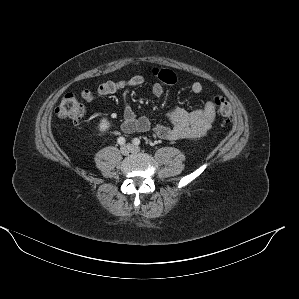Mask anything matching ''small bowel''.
<instances>
[{"label":"small bowel","mask_w":299,"mask_h":299,"mask_svg":"<svg viewBox=\"0 0 299 299\" xmlns=\"http://www.w3.org/2000/svg\"><path fill=\"white\" fill-rule=\"evenodd\" d=\"M153 76L158 79L152 86V92L160 97L163 94L164 86H170L177 82L174 72L155 67L152 70ZM145 78L142 75H134L127 80L107 81L101 83L96 88V93L100 96H107L121 92L123 94V121L121 130L130 134L134 132L146 133L152 131L156 136L164 140L195 139L204 136L216 121V107L213 100H208L205 104L193 111L184 108H176L168 117L167 124L153 123L149 118L137 116L128 102V91L130 88L143 85ZM204 90L200 82L191 85V91L201 94ZM82 98L86 102H92L95 92L91 89H83Z\"/></svg>","instance_id":"small-bowel-1"}]
</instances>
